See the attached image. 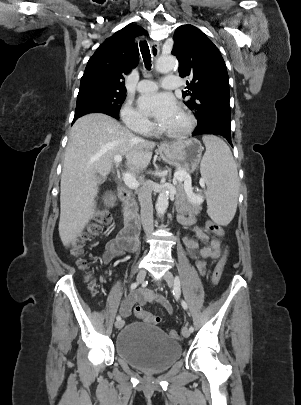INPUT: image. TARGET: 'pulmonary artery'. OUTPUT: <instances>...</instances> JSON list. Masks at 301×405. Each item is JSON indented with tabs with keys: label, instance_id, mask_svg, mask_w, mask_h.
<instances>
[{
	"label": "pulmonary artery",
	"instance_id": "obj_1",
	"mask_svg": "<svg viewBox=\"0 0 301 405\" xmlns=\"http://www.w3.org/2000/svg\"><path fill=\"white\" fill-rule=\"evenodd\" d=\"M163 88L176 89L180 87V79L175 75L166 76L161 83ZM158 89V84L152 80H142L138 83L137 90L141 93H151Z\"/></svg>",
	"mask_w": 301,
	"mask_h": 405
}]
</instances>
